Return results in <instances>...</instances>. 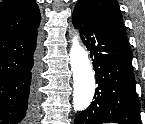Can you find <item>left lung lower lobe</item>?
<instances>
[{
  "label": "left lung lower lobe",
  "instance_id": "1",
  "mask_svg": "<svg viewBox=\"0 0 145 124\" xmlns=\"http://www.w3.org/2000/svg\"><path fill=\"white\" fill-rule=\"evenodd\" d=\"M72 22L90 51L98 83L95 100L76 117L75 124H142L127 39L78 10H74Z\"/></svg>",
  "mask_w": 145,
  "mask_h": 124
}]
</instances>
